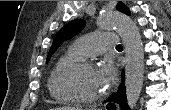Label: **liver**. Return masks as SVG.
Segmentation results:
<instances>
[{
    "mask_svg": "<svg viewBox=\"0 0 171 110\" xmlns=\"http://www.w3.org/2000/svg\"><path fill=\"white\" fill-rule=\"evenodd\" d=\"M55 110H82V109L75 108V107H61V108H56Z\"/></svg>",
    "mask_w": 171,
    "mask_h": 110,
    "instance_id": "6515ba94",
    "label": "liver"
}]
</instances>
